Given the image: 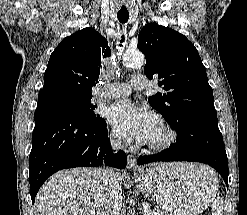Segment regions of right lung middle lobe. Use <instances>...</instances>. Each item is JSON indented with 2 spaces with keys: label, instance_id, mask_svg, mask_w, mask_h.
Segmentation results:
<instances>
[{
  "label": "right lung middle lobe",
  "instance_id": "dd1d6c3e",
  "mask_svg": "<svg viewBox=\"0 0 247 215\" xmlns=\"http://www.w3.org/2000/svg\"><path fill=\"white\" fill-rule=\"evenodd\" d=\"M91 98V94H83L72 89L50 88L40 91L38 104L53 106L85 120H101L100 115L94 113L96 106L91 103Z\"/></svg>",
  "mask_w": 247,
  "mask_h": 215
}]
</instances>
